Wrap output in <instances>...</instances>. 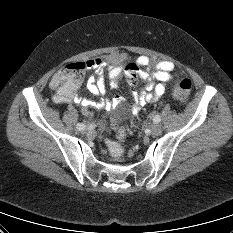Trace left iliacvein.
Masks as SVG:
<instances>
[{
	"instance_id": "left-iliac-vein-1",
	"label": "left iliac vein",
	"mask_w": 233,
	"mask_h": 233,
	"mask_svg": "<svg viewBox=\"0 0 233 233\" xmlns=\"http://www.w3.org/2000/svg\"><path fill=\"white\" fill-rule=\"evenodd\" d=\"M162 131L161 125L158 123H154L151 127H150V133L153 136H158Z\"/></svg>"
}]
</instances>
